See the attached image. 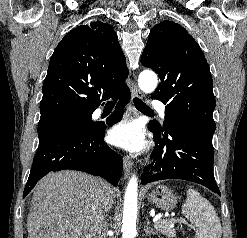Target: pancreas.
<instances>
[{
	"label": "pancreas",
	"mask_w": 247,
	"mask_h": 238,
	"mask_svg": "<svg viewBox=\"0 0 247 238\" xmlns=\"http://www.w3.org/2000/svg\"><path fill=\"white\" fill-rule=\"evenodd\" d=\"M174 220H161L154 225L157 232L167 236L168 238H174L176 236V230L172 227Z\"/></svg>",
	"instance_id": "obj_1"
}]
</instances>
